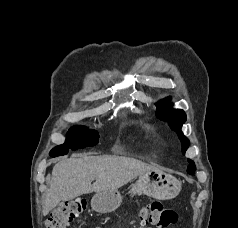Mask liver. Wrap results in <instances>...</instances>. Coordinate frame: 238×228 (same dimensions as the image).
I'll list each match as a JSON object with an SVG mask.
<instances>
[{
  "label": "liver",
  "instance_id": "liver-1",
  "mask_svg": "<svg viewBox=\"0 0 238 228\" xmlns=\"http://www.w3.org/2000/svg\"><path fill=\"white\" fill-rule=\"evenodd\" d=\"M155 170L152 165L123 156L63 159L53 167L50 187L43 199V215L46 216L61 201H69L93 191L117 190L137 176ZM93 180L95 182L92 184Z\"/></svg>",
  "mask_w": 238,
  "mask_h": 228
}]
</instances>
